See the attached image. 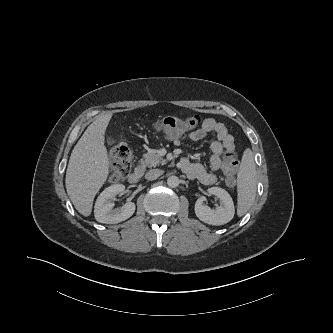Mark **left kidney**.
Here are the masks:
<instances>
[{
    "label": "left kidney",
    "mask_w": 333,
    "mask_h": 333,
    "mask_svg": "<svg viewBox=\"0 0 333 333\" xmlns=\"http://www.w3.org/2000/svg\"><path fill=\"white\" fill-rule=\"evenodd\" d=\"M208 194L217 196L221 205L212 210L205 205L204 197L199 198L195 203V214L204 223L210 225H223L231 221L235 214L234 203L227 191L219 187H211Z\"/></svg>",
    "instance_id": "obj_1"
}]
</instances>
